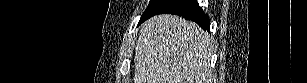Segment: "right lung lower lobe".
<instances>
[{
    "label": "right lung lower lobe",
    "mask_w": 307,
    "mask_h": 83,
    "mask_svg": "<svg viewBox=\"0 0 307 83\" xmlns=\"http://www.w3.org/2000/svg\"><path fill=\"white\" fill-rule=\"evenodd\" d=\"M175 14L195 21L205 30L210 28V20L196 0H156L149 14L142 22L157 14Z\"/></svg>",
    "instance_id": "obj_1"
}]
</instances>
